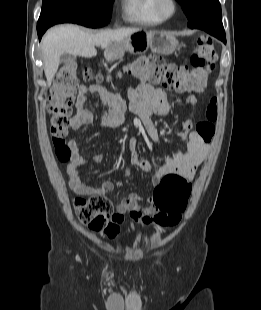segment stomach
<instances>
[{
    "label": "stomach",
    "instance_id": "obj_1",
    "mask_svg": "<svg viewBox=\"0 0 261 310\" xmlns=\"http://www.w3.org/2000/svg\"><path fill=\"white\" fill-rule=\"evenodd\" d=\"M177 46L178 40L171 33L139 30L120 42L111 43L105 50V57L108 61H115L121 59L127 51L139 54L148 49L157 54L169 55Z\"/></svg>",
    "mask_w": 261,
    "mask_h": 310
}]
</instances>
